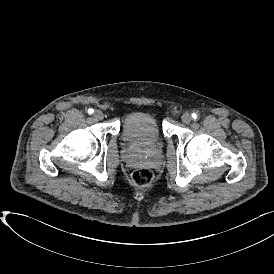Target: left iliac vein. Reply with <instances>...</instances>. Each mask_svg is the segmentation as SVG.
<instances>
[{
  "label": "left iliac vein",
  "instance_id": "obj_1",
  "mask_svg": "<svg viewBox=\"0 0 274 274\" xmlns=\"http://www.w3.org/2000/svg\"><path fill=\"white\" fill-rule=\"evenodd\" d=\"M181 120H182L183 123L189 124L192 120V117L189 113H184L181 117Z\"/></svg>",
  "mask_w": 274,
  "mask_h": 274
}]
</instances>
